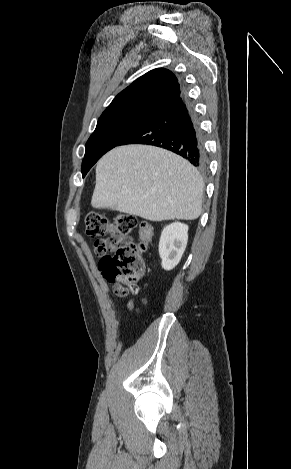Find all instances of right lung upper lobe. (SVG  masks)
<instances>
[{
	"label": "right lung upper lobe",
	"instance_id": "right-lung-upper-lobe-1",
	"mask_svg": "<svg viewBox=\"0 0 291 469\" xmlns=\"http://www.w3.org/2000/svg\"><path fill=\"white\" fill-rule=\"evenodd\" d=\"M182 93V85L170 70L153 69L120 92L101 116L129 110L155 113Z\"/></svg>",
	"mask_w": 291,
	"mask_h": 469
}]
</instances>
